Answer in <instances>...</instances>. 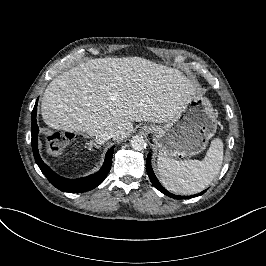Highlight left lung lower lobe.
<instances>
[{"instance_id": "0a47b994", "label": "left lung lower lobe", "mask_w": 266, "mask_h": 266, "mask_svg": "<svg viewBox=\"0 0 266 266\" xmlns=\"http://www.w3.org/2000/svg\"><path fill=\"white\" fill-rule=\"evenodd\" d=\"M146 170H147V173H148V176L152 182V184L154 185V187L156 189H158L160 192H162L163 194L171 197V198H174V199H187V198H192V197H197L199 195H202L205 191L199 193V194H195L193 196H179V195H174V194H171L170 192H168L167 190H165L162 185L160 184V182L158 181V179L156 178L154 172H153V169L151 167V153L148 154V157H147V163H146Z\"/></svg>"}]
</instances>
